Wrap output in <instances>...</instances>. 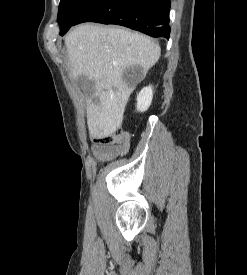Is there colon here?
<instances>
[{
	"label": "colon",
	"mask_w": 247,
	"mask_h": 275,
	"mask_svg": "<svg viewBox=\"0 0 247 275\" xmlns=\"http://www.w3.org/2000/svg\"><path fill=\"white\" fill-rule=\"evenodd\" d=\"M94 142L101 145L127 144L128 135L122 130H116L112 134L96 138Z\"/></svg>",
	"instance_id": "obj_1"
}]
</instances>
